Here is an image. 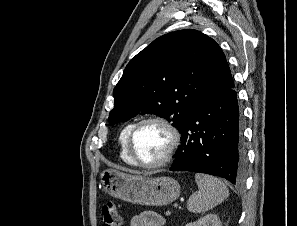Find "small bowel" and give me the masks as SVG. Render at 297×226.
<instances>
[{
  "label": "small bowel",
  "instance_id": "1",
  "mask_svg": "<svg viewBox=\"0 0 297 226\" xmlns=\"http://www.w3.org/2000/svg\"><path fill=\"white\" fill-rule=\"evenodd\" d=\"M130 226H165L162 216L153 211H145L131 218Z\"/></svg>",
  "mask_w": 297,
  "mask_h": 226
}]
</instances>
